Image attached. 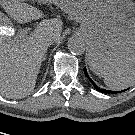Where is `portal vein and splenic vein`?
Listing matches in <instances>:
<instances>
[{"label": "portal vein and splenic vein", "mask_w": 135, "mask_h": 135, "mask_svg": "<svg viewBox=\"0 0 135 135\" xmlns=\"http://www.w3.org/2000/svg\"><path fill=\"white\" fill-rule=\"evenodd\" d=\"M29 30L30 29L20 30V32L18 34V38H25V37H27V34H28ZM0 35L12 36V35H14V31L10 27H2L0 29Z\"/></svg>", "instance_id": "obj_1"}]
</instances>
